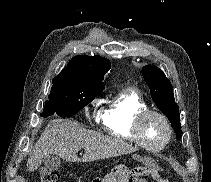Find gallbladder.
<instances>
[{"label":"gallbladder","instance_id":"bac80fb5","mask_svg":"<svg viewBox=\"0 0 211 182\" xmlns=\"http://www.w3.org/2000/svg\"><path fill=\"white\" fill-rule=\"evenodd\" d=\"M44 166L50 171L57 170L60 167L61 159L56 155H50L43 160Z\"/></svg>","mask_w":211,"mask_h":182}]
</instances>
